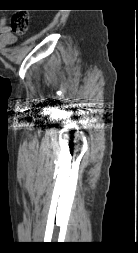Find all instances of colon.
Returning <instances> with one entry per match:
<instances>
[{"instance_id":"1","label":"colon","mask_w":138,"mask_h":253,"mask_svg":"<svg viewBox=\"0 0 138 253\" xmlns=\"http://www.w3.org/2000/svg\"><path fill=\"white\" fill-rule=\"evenodd\" d=\"M28 25V17L25 13H17L12 18V32L22 34L26 31Z\"/></svg>"}]
</instances>
